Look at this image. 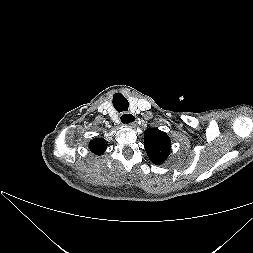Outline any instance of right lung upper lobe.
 <instances>
[{
  "label": "right lung upper lobe",
  "mask_w": 253,
  "mask_h": 253,
  "mask_svg": "<svg viewBox=\"0 0 253 253\" xmlns=\"http://www.w3.org/2000/svg\"><path fill=\"white\" fill-rule=\"evenodd\" d=\"M90 150L96 154L101 155L106 149V141L103 138H97L90 142Z\"/></svg>",
  "instance_id": "cb5924a9"
}]
</instances>
